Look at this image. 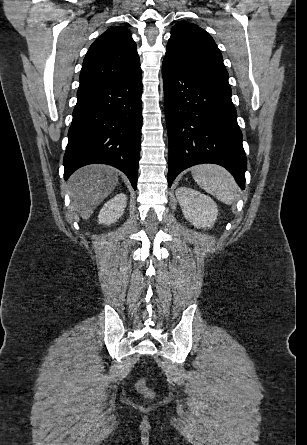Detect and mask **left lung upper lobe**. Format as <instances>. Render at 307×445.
Returning <instances> with one entry per match:
<instances>
[{"instance_id": "5c2ea615", "label": "left lung upper lobe", "mask_w": 307, "mask_h": 445, "mask_svg": "<svg viewBox=\"0 0 307 445\" xmlns=\"http://www.w3.org/2000/svg\"><path fill=\"white\" fill-rule=\"evenodd\" d=\"M164 60L200 83L231 94L222 55L213 38L199 26L177 23L171 30Z\"/></svg>"}]
</instances>
